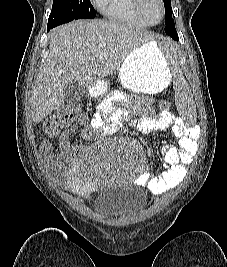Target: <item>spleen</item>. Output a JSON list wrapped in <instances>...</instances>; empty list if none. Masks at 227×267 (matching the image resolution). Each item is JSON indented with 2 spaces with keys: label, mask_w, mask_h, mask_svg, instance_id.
Listing matches in <instances>:
<instances>
[{
  "label": "spleen",
  "mask_w": 227,
  "mask_h": 267,
  "mask_svg": "<svg viewBox=\"0 0 227 267\" xmlns=\"http://www.w3.org/2000/svg\"><path fill=\"white\" fill-rule=\"evenodd\" d=\"M154 41H173V36H154ZM154 47H164L163 55H178L179 47L177 42H154ZM176 76L174 81H189V76H183L184 67H173ZM172 87L176 90L173 98H186V100H173V105H194V93H189L191 82H172ZM178 115H197L196 106H176ZM183 125H187V129H198V116H181Z\"/></svg>",
  "instance_id": "obj_1"
}]
</instances>
